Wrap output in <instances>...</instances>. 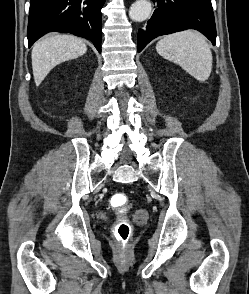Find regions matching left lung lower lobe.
Wrapping results in <instances>:
<instances>
[{"instance_id": "left-lung-lower-lobe-1", "label": "left lung lower lobe", "mask_w": 249, "mask_h": 294, "mask_svg": "<svg viewBox=\"0 0 249 294\" xmlns=\"http://www.w3.org/2000/svg\"><path fill=\"white\" fill-rule=\"evenodd\" d=\"M157 3L146 29L138 31L137 51L154 38L186 29L202 32L215 45L216 27L211 0H152Z\"/></svg>"}]
</instances>
